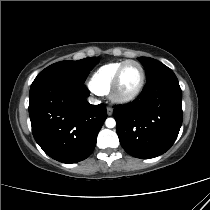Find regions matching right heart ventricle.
I'll list each match as a JSON object with an SVG mask.
<instances>
[{"instance_id":"right-heart-ventricle-1","label":"right heart ventricle","mask_w":210,"mask_h":210,"mask_svg":"<svg viewBox=\"0 0 210 210\" xmlns=\"http://www.w3.org/2000/svg\"><path fill=\"white\" fill-rule=\"evenodd\" d=\"M124 61L107 63L98 68L90 78L91 89L100 95L107 94L110 90L114 75Z\"/></svg>"}]
</instances>
